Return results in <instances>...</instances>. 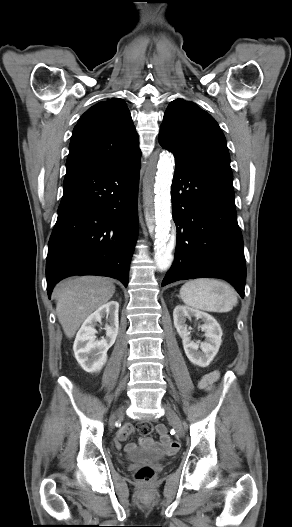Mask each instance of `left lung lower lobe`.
Returning a JSON list of instances; mask_svg holds the SVG:
<instances>
[{
  "label": "left lung lower lobe",
  "mask_w": 292,
  "mask_h": 527,
  "mask_svg": "<svg viewBox=\"0 0 292 527\" xmlns=\"http://www.w3.org/2000/svg\"><path fill=\"white\" fill-rule=\"evenodd\" d=\"M232 181L228 175L176 164L171 192L177 244L162 286L221 278L244 297L246 266Z\"/></svg>",
  "instance_id": "obj_1"
}]
</instances>
